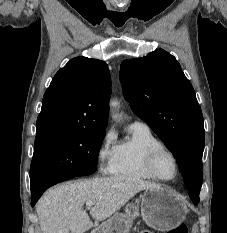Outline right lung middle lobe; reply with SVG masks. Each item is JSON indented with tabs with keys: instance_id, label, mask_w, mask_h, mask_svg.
I'll return each mask as SVG.
<instances>
[{
	"instance_id": "right-lung-middle-lobe-1",
	"label": "right lung middle lobe",
	"mask_w": 227,
	"mask_h": 233,
	"mask_svg": "<svg viewBox=\"0 0 227 233\" xmlns=\"http://www.w3.org/2000/svg\"><path fill=\"white\" fill-rule=\"evenodd\" d=\"M105 129L56 128L36 133L31 188L64 177L93 174Z\"/></svg>"
}]
</instances>
